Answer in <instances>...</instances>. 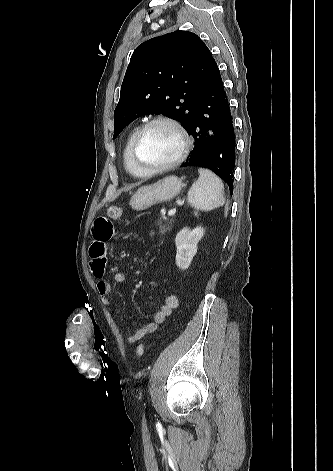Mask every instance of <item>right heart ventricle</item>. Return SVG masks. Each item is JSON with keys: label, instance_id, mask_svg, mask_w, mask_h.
Returning <instances> with one entry per match:
<instances>
[{"label": "right heart ventricle", "instance_id": "obj_1", "mask_svg": "<svg viewBox=\"0 0 333 471\" xmlns=\"http://www.w3.org/2000/svg\"><path fill=\"white\" fill-rule=\"evenodd\" d=\"M139 128H140L139 126H135L129 131V133L126 137L124 147H123V152H122V159H123L124 168L130 175H132L134 177L147 176V175H144L141 171H139L135 167V165L133 163V160H132V157H131V148H132L133 139H134V137H135V135H136Z\"/></svg>", "mask_w": 333, "mask_h": 471}]
</instances>
